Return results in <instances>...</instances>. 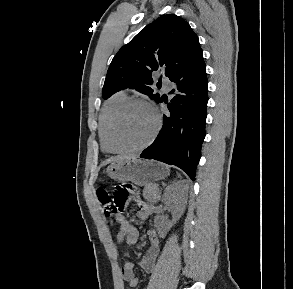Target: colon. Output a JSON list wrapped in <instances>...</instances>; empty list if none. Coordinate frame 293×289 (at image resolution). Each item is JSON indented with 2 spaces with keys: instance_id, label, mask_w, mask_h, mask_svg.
Masks as SVG:
<instances>
[{
  "instance_id": "1",
  "label": "colon",
  "mask_w": 293,
  "mask_h": 289,
  "mask_svg": "<svg viewBox=\"0 0 293 289\" xmlns=\"http://www.w3.org/2000/svg\"><path fill=\"white\" fill-rule=\"evenodd\" d=\"M135 192L136 188L132 184H119L112 193L99 188L97 190V198L102 213L106 217L111 218L118 212L123 211ZM136 204L138 205V201H136Z\"/></svg>"
}]
</instances>
